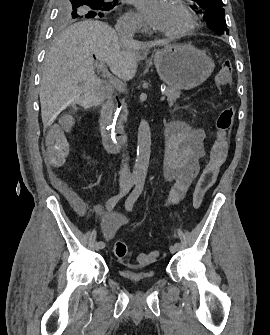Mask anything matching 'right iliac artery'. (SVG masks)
I'll list each match as a JSON object with an SVG mask.
<instances>
[{
	"mask_svg": "<svg viewBox=\"0 0 270 335\" xmlns=\"http://www.w3.org/2000/svg\"><path fill=\"white\" fill-rule=\"evenodd\" d=\"M136 183L134 179H130L127 183V186L125 189L120 192L119 194L111 197L107 203H106V209L108 211H112V209L115 207V205L118 203L120 199H122L128 192L129 190L133 187V185ZM100 249H103L105 247V243L103 241L98 242Z\"/></svg>",
	"mask_w": 270,
	"mask_h": 335,
	"instance_id": "1",
	"label": "right iliac artery"
}]
</instances>
